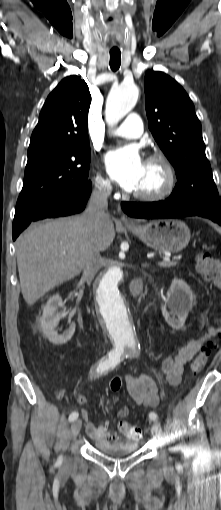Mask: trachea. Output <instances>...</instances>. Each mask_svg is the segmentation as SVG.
I'll list each match as a JSON object with an SVG mask.
<instances>
[{"label":"trachea","instance_id":"1","mask_svg":"<svg viewBox=\"0 0 221 510\" xmlns=\"http://www.w3.org/2000/svg\"><path fill=\"white\" fill-rule=\"evenodd\" d=\"M121 65V53L110 52V68L112 71H117Z\"/></svg>","mask_w":221,"mask_h":510}]
</instances>
